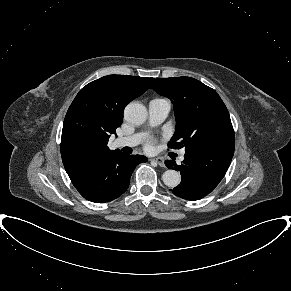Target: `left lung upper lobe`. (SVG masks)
I'll return each instance as SVG.
<instances>
[{
	"mask_svg": "<svg viewBox=\"0 0 291 291\" xmlns=\"http://www.w3.org/2000/svg\"><path fill=\"white\" fill-rule=\"evenodd\" d=\"M150 88L174 104L177 124L170 148L235 147L228 110L214 89L191 77L155 79Z\"/></svg>",
	"mask_w": 291,
	"mask_h": 291,
	"instance_id": "obj_1",
	"label": "left lung upper lobe"
}]
</instances>
